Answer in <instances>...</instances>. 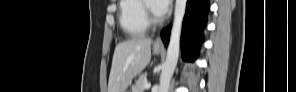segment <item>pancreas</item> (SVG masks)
<instances>
[{
    "label": "pancreas",
    "instance_id": "obj_1",
    "mask_svg": "<svg viewBox=\"0 0 296 92\" xmlns=\"http://www.w3.org/2000/svg\"><path fill=\"white\" fill-rule=\"evenodd\" d=\"M147 83V75L142 74L132 87V92H144V84Z\"/></svg>",
    "mask_w": 296,
    "mask_h": 92
}]
</instances>
